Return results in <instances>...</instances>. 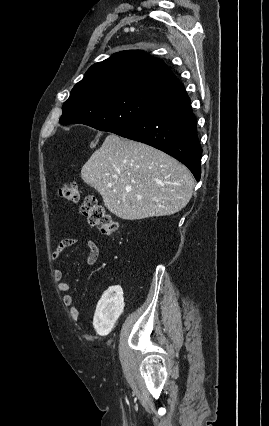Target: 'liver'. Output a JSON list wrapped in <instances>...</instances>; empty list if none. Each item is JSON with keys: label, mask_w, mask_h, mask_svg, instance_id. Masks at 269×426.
Segmentation results:
<instances>
[{"label": "liver", "mask_w": 269, "mask_h": 426, "mask_svg": "<svg viewBox=\"0 0 269 426\" xmlns=\"http://www.w3.org/2000/svg\"><path fill=\"white\" fill-rule=\"evenodd\" d=\"M105 207L124 220L168 216L190 201L194 179L176 159L147 144L109 134L81 169Z\"/></svg>", "instance_id": "6515ba94"}]
</instances>
